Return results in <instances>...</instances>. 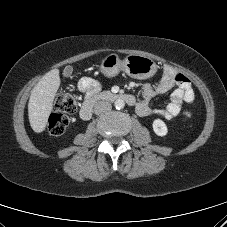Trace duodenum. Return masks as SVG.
I'll return each mask as SVG.
<instances>
[{"mask_svg":"<svg viewBox=\"0 0 227 227\" xmlns=\"http://www.w3.org/2000/svg\"><path fill=\"white\" fill-rule=\"evenodd\" d=\"M117 100L125 101L129 105L135 104V98L130 94L102 92V93L96 94L92 97H89L84 102V104L80 110V117L83 120H89L92 116L93 107H94L95 103L98 101L114 102Z\"/></svg>","mask_w":227,"mask_h":227,"instance_id":"duodenum-1","label":"duodenum"}]
</instances>
